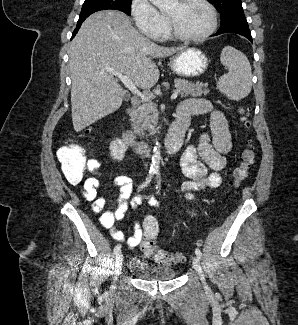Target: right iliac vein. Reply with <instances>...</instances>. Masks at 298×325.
<instances>
[{
    "instance_id": "63e3f726",
    "label": "right iliac vein",
    "mask_w": 298,
    "mask_h": 325,
    "mask_svg": "<svg viewBox=\"0 0 298 325\" xmlns=\"http://www.w3.org/2000/svg\"><path fill=\"white\" fill-rule=\"evenodd\" d=\"M122 263H123V255L122 253H118L117 256H116V260H115V265H114V278H113V285H112V288L115 289L116 287V281L118 279V276L120 275L121 273V270H122Z\"/></svg>"
}]
</instances>
